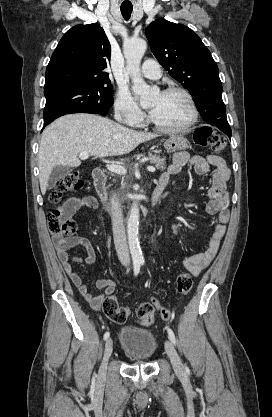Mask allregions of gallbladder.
<instances>
[{
  "instance_id": "1",
  "label": "gallbladder",
  "mask_w": 272,
  "mask_h": 417,
  "mask_svg": "<svg viewBox=\"0 0 272 417\" xmlns=\"http://www.w3.org/2000/svg\"><path fill=\"white\" fill-rule=\"evenodd\" d=\"M72 172V168L68 166L59 165L53 168L48 181L47 188L52 189L56 183L63 177L69 175Z\"/></svg>"
}]
</instances>
